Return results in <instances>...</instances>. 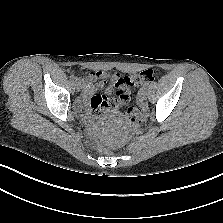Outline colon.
<instances>
[{
	"mask_svg": "<svg viewBox=\"0 0 223 223\" xmlns=\"http://www.w3.org/2000/svg\"><path fill=\"white\" fill-rule=\"evenodd\" d=\"M155 71L152 69H147L141 71L138 74L121 77L119 74H109L103 80L104 82L109 81L110 84L114 86L116 89V97L119 99L121 103L126 104L129 100V90L130 88L137 86L143 83H150L154 80ZM101 81L97 79L93 83H97ZM127 116L131 123L134 125H139L143 122L145 118V111L144 109H139L136 107H131L128 109Z\"/></svg>",
	"mask_w": 223,
	"mask_h": 223,
	"instance_id": "5ec220e1",
	"label": "colon"
}]
</instances>
